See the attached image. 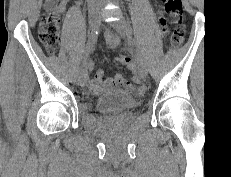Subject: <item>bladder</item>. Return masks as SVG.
Wrapping results in <instances>:
<instances>
[{
	"mask_svg": "<svg viewBox=\"0 0 231 177\" xmlns=\"http://www.w3.org/2000/svg\"><path fill=\"white\" fill-rule=\"evenodd\" d=\"M137 106L136 99L122 90H112L98 97L97 109L102 113H115L130 110Z\"/></svg>",
	"mask_w": 231,
	"mask_h": 177,
	"instance_id": "1",
	"label": "bladder"
}]
</instances>
